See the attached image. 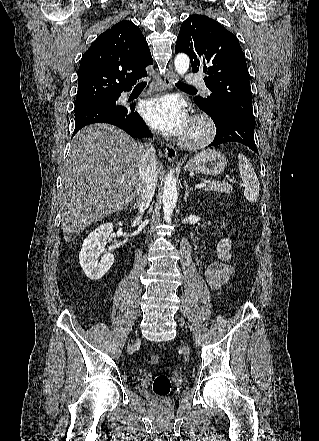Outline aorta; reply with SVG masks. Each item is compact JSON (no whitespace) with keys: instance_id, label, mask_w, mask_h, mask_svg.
<instances>
[{"instance_id":"obj_1","label":"aorta","mask_w":319,"mask_h":441,"mask_svg":"<svg viewBox=\"0 0 319 441\" xmlns=\"http://www.w3.org/2000/svg\"><path fill=\"white\" fill-rule=\"evenodd\" d=\"M175 69L179 75H184L190 65V59L185 53H178L175 61ZM174 171L170 170L168 173L163 191V215L166 222H171V217L177 202V184L174 176Z\"/></svg>"}]
</instances>
